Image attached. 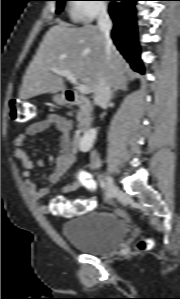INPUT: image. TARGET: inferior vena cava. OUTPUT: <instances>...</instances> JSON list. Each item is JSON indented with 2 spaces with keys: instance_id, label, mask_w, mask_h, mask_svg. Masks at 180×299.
Here are the masks:
<instances>
[{
  "instance_id": "inferior-vena-cava-1",
  "label": "inferior vena cava",
  "mask_w": 180,
  "mask_h": 299,
  "mask_svg": "<svg viewBox=\"0 0 180 299\" xmlns=\"http://www.w3.org/2000/svg\"><path fill=\"white\" fill-rule=\"evenodd\" d=\"M98 28L104 34L107 46L112 45L110 39V30L112 28V22L106 8H101L98 13ZM112 96L111 86L104 75L99 77L98 85L95 92L94 102L96 105L101 106L107 103Z\"/></svg>"
}]
</instances>
